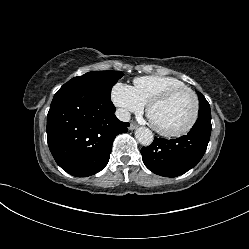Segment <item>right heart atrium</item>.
<instances>
[{"instance_id": "obj_1", "label": "right heart atrium", "mask_w": 249, "mask_h": 249, "mask_svg": "<svg viewBox=\"0 0 249 249\" xmlns=\"http://www.w3.org/2000/svg\"><path fill=\"white\" fill-rule=\"evenodd\" d=\"M111 98L123 117H127L131 112H140L145 106L136 94L135 89L121 82L113 86Z\"/></svg>"}]
</instances>
